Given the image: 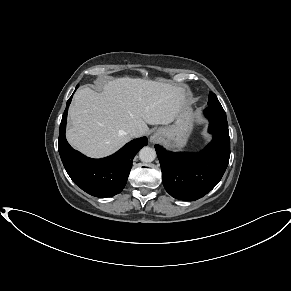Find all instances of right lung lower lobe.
<instances>
[{"label": "right lung lower lobe", "instance_id": "obj_1", "mask_svg": "<svg viewBox=\"0 0 291 291\" xmlns=\"http://www.w3.org/2000/svg\"><path fill=\"white\" fill-rule=\"evenodd\" d=\"M72 96L67 102L60 124L58 150L63 165L73 182L86 193L95 197L114 196L125 187L133 158L147 145L148 140L146 137L135 139L106 158L91 159L84 156L74 150L65 138L67 112Z\"/></svg>", "mask_w": 291, "mask_h": 291}]
</instances>
